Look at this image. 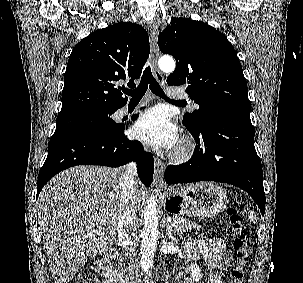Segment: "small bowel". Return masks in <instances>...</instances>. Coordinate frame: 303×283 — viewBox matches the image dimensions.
Here are the masks:
<instances>
[{
    "instance_id": "obj_1",
    "label": "small bowel",
    "mask_w": 303,
    "mask_h": 283,
    "mask_svg": "<svg viewBox=\"0 0 303 283\" xmlns=\"http://www.w3.org/2000/svg\"><path fill=\"white\" fill-rule=\"evenodd\" d=\"M186 257L188 260L203 259L210 267H217L221 270L229 268V259L225 242L213 237L206 241L190 239L185 242ZM105 277V283H109L104 271L100 270ZM185 283H193L186 281ZM207 283H222V278L218 274L209 277Z\"/></svg>"
}]
</instances>
